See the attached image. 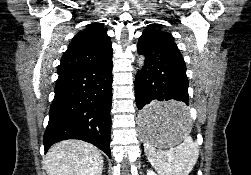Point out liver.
Returning a JSON list of instances; mask_svg holds the SVG:
<instances>
[{
	"label": "liver",
	"instance_id": "liver-1",
	"mask_svg": "<svg viewBox=\"0 0 251 175\" xmlns=\"http://www.w3.org/2000/svg\"><path fill=\"white\" fill-rule=\"evenodd\" d=\"M48 175H101L100 149L81 139H65L52 145L44 157Z\"/></svg>",
	"mask_w": 251,
	"mask_h": 175
}]
</instances>
